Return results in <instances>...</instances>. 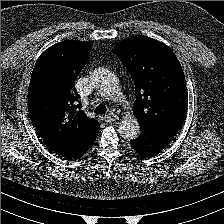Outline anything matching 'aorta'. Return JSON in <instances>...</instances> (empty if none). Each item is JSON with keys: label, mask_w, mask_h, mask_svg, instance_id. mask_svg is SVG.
Listing matches in <instances>:
<instances>
[{"label": "aorta", "mask_w": 224, "mask_h": 224, "mask_svg": "<svg viewBox=\"0 0 224 224\" xmlns=\"http://www.w3.org/2000/svg\"><path fill=\"white\" fill-rule=\"evenodd\" d=\"M96 85L104 94L112 99L120 96V88L117 78L109 72H102L96 77ZM119 133L124 138H135L140 133L137 119L133 115H127L119 124Z\"/></svg>", "instance_id": "obj_1"}]
</instances>
